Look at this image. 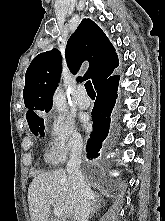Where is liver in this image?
<instances>
[{
    "mask_svg": "<svg viewBox=\"0 0 165 221\" xmlns=\"http://www.w3.org/2000/svg\"><path fill=\"white\" fill-rule=\"evenodd\" d=\"M49 199L63 210L66 219L74 217L75 192L64 170L41 173L30 183L28 205L32 221H50Z\"/></svg>",
    "mask_w": 165,
    "mask_h": 221,
    "instance_id": "liver-1",
    "label": "liver"
}]
</instances>
